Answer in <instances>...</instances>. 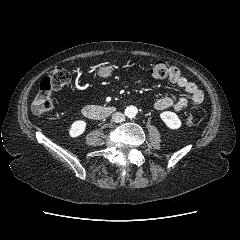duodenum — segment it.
<instances>
[{
  "label": "duodenum",
  "instance_id": "obj_1",
  "mask_svg": "<svg viewBox=\"0 0 240 240\" xmlns=\"http://www.w3.org/2000/svg\"><path fill=\"white\" fill-rule=\"evenodd\" d=\"M113 111V107L97 105H86L82 109V113L85 117L95 120L103 119L110 115Z\"/></svg>",
  "mask_w": 240,
  "mask_h": 240
}]
</instances>
